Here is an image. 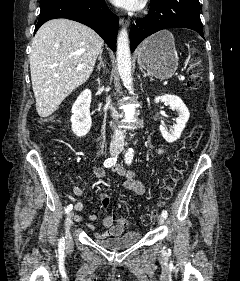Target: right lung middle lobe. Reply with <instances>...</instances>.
Segmentation results:
<instances>
[{
    "label": "right lung middle lobe",
    "instance_id": "1",
    "mask_svg": "<svg viewBox=\"0 0 240 281\" xmlns=\"http://www.w3.org/2000/svg\"><path fill=\"white\" fill-rule=\"evenodd\" d=\"M44 1H47V0H40V3L44 2Z\"/></svg>",
    "mask_w": 240,
    "mask_h": 281
}]
</instances>
